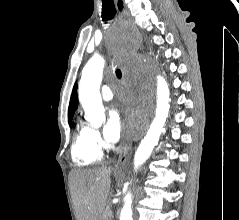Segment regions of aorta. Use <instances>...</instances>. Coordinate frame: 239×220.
Instances as JSON below:
<instances>
[{
	"label": "aorta",
	"mask_w": 239,
	"mask_h": 220,
	"mask_svg": "<svg viewBox=\"0 0 239 220\" xmlns=\"http://www.w3.org/2000/svg\"><path fill=\"white\" fill-rule=\"evenodd\" d=\"M114 40H135V33H114ZM135 46V45H114ZM149 60V59H145ZM105 61L101 56L92 57L82 71V77L79 85V101L85 111L86 119L94 127H99L105 119V110L102 104L100 94V85L102 81L103 68ZM159 65H156V71ZM152 71V70H148ZM157 83V107L155 117L151 125L139 144L134 155V171L137 170L148 160L153 149L158 144L163 127L166 123L170 108V92L165 78L156 74ZM133 196L128 192L123 199V207L120 214V220L132 219Z\"/></svg>",
	"instance_id": "762f6f07"
}]
</instances>
